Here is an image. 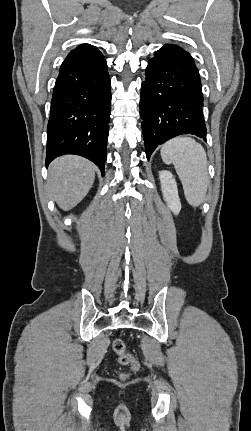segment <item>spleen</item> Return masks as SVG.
I'll return each instance as SVG.
<instances>
[{
	"mask_svg": "<svg viewBox=\"0 0 251 431\" xmlns=\"http://www.w3.org/2000/svg\"><path fill=\"white\" fill-rule=\"evenodd\" d=\"M161 157L166 164L174 165L187 202L199 206L206 196L209 180L207 156L202 145L189 137H177L162 145Z\"/></svg>",
	"mask_w": 251,
	"mask_h": 431,
	"instance_id": "1",
	"label": "spleen"
}]
</instances>
